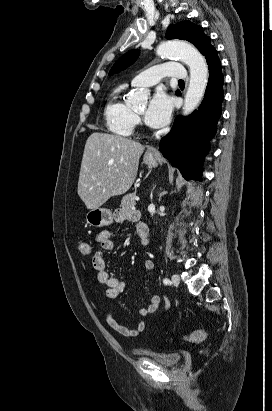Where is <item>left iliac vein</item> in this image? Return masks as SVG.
<instances>
[{
	"label": "left iliac vein",
	"instance_id": "obj_1",
	"mask_svg": "<svg viewBox=\"0 0 272 411\" xmlns=\"http://www.w3.org/2000/svg\"><path fill=\"white\" fill-rule=\"evenodd\" d=\"M172 283L173 285L177 286L180 283V277L178 274H173L172 275Z\"/></svg>",
	"mask_w": 272,
	"mask_h": 411
}]
</instances>
